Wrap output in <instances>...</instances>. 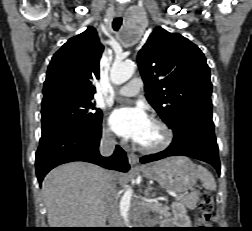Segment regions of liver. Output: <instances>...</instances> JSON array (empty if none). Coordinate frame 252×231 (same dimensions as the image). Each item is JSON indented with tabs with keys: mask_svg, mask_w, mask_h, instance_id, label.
<instances>
[{
	"mask_svg": "<svg viewBox=\"0 0 252 231\" xmlns=\"http://www.w3.org/2000/svg\"><path fill=\"white\" fill-rule=\"evenodd\" d=\"M118 177L84 162H71L53 169L42 183L50 228H103L106 187Z\"/></svg>",
	"mask_w": 252,
	"mask_h": 231,
	"instance_id": "1",
	"label": "liver"
}]
</instances>
